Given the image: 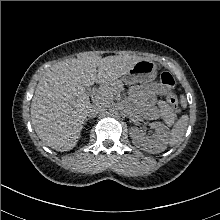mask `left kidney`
Wrapping results in <instances>:
<instances>
[{
	"mask_svg": "<svg viewBox=\"0 0 220 220\" xmlns=\"http://www.w3.org/2000/svg\"><path fill=\"white\" fill-rule=\"evenodd\" d=\"M150 126L155 130L152 138L144 137L136 127L130 129V136L133 143L141 150L149 153H160L166 149L168 143V127L160 122H152Z\"/></svg>",
	"mask_w": 220,
	"mask_h": 220,
	"instance_id": "obj_1",
	"label": "left kidney"
}]
</instances>
